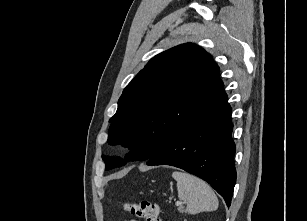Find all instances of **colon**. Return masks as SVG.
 Masks as SVG:
<instances>
[{"label": "colon", "mask_w": 307, "mask_h": 221, "mask_svg": "<svg viewBox=\"0 0 307 221\" xmlns=\"http://www.w3.org/2000/svg\"><path fill=\"white\" fill-rule=\"evenodd\" d=\"M124 208L132 215L144 219L145 221H162L160 207L147 200L128 202Z\"/></svg>", "instance_id": "1"}]
</instances>
